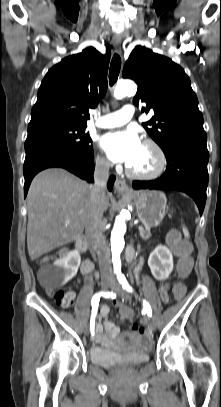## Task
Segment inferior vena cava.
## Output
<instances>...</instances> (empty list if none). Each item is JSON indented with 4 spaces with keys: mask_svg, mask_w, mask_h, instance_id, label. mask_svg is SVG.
I'll return each instance as SVG.
<instances>
[{
    "mask_svg": "<svg viewBox=\"0 0 221 407\" xmlns=\"http://www.w3.org/2000/svg\"><path fill=\"white\" fill-rule=\"evenodd\" d=\"M109 167L110 164L106 161H96L94 171L95 182L91 185V202L93 208L91 218L85 227V234L98 256L99 267L102 274L111 273L110 249L100 230L103 217V205L106 199L105 185L109 178Z\"/></svg>",
    "mask_w": 221,
    "mask_h": 407,
    "instance_id": "602c4592",
    "label": "inferior vena cava"
}]
</instances>
